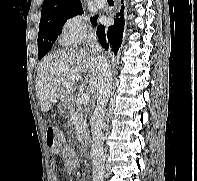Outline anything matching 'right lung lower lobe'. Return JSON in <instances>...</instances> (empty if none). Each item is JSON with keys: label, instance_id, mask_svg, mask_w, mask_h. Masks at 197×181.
Masks as SVG:
<instances>
[{"label": "right lung lower lobe", "instance_id": "obj_1", "mask_svg": "<svg viewBox=\"0 0 197 181\" xmlns=\"http://www.w3.org/2000/svg\"><path fill=\"white\" fill-rule=\"evenodd\" d=\"M123 2V0H121ZM124 7L116 14L114 25L105 27L103 25L97 26V36L101 45L106 49L112 50L115 54L122 43L123 29H124Z\"/></svg>", "mask_w": 197, "mask_h": 181}]
</instances>
